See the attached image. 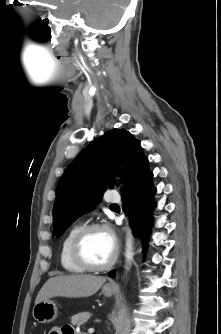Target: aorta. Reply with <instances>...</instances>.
Wrapping results in <instances>:
<instances>
[{"label": "aorta", "instance_id": "aorta-1", "mask_svg": "<svg viewBox=\"0 0 221 334\" xmlns=\"http://www.w3.org/2000/svg\"><path fill=\"white\" fill-rule=\"evenodd\" d=\"M127 247H128V249H127V259L129 260V259H131V255H132V253H131V242H130V239L127 242Z\"/></svg>", "mask_w": 221, "mask_h": 334}]
</instances>
